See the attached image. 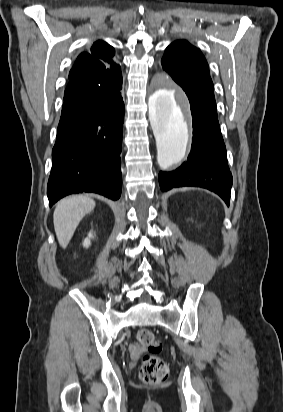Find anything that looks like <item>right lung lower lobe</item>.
<instances>
[{
	"mask_svg": "<svg viewBox=\"0 0 283 412\" xmlns=\"http://www.w3.org/2000/svg\"><path fill=\"white\" fill-rule=\"evenodd\" d=\"M120 83H95L64 99L47 186L50 207L74 193L121 195L124 102Z\"/></svg>",
	"mask_w": 283,
	"mask_h": 412,
	"instance_id": "obj_1",
	"label": "right lung lower lobe"
}]
</instances>
